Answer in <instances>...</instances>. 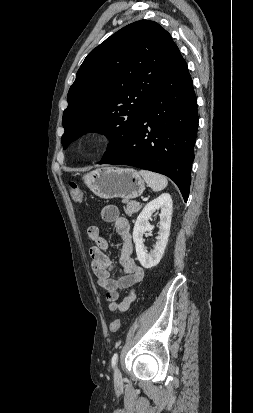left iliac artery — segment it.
Instances as JSON below:
<instances>
[{"mask_svg": "<svg viewBox=\"0 0 253 413\" xmlns=\"http://www.w3.org/2000/svg\"><path fill=\"white\" fill-rule=\"evenodd\" d=\"M117 361H118V353H115L111 360L112 367H115V365L117 364Z\"/></svg>", "mask_w": 253, "mask_h": 413, "instance_id": "obj_1", "label": "left iliac artery"}]
</instances>
